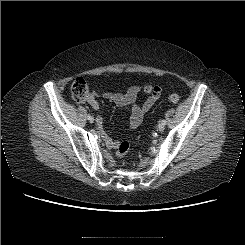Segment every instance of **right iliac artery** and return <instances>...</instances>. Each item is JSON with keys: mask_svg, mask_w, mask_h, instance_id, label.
<instances>
[{"mask_svg": "<svg viewBox=\"0 0 245 245\" xmlns=\"http://www.w3.org/2000/svg\"><path fill=\"white\" fill-rule=\"evenodd\" d=\"M87 117L89 118V117H91V115H88Z\"/></svg>", "mask_w": 245, "mask_h": 245, "instance_id": "obj_1", "label": "right iliac artery"}]
</instances>
